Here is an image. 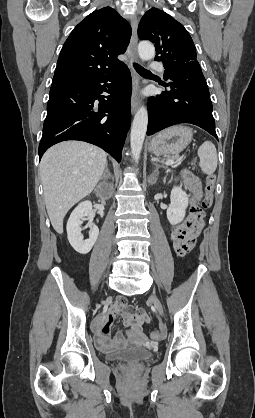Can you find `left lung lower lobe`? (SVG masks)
Segmentation results:
<instances>
[{
	"label": "left lung lower lobe",
	"instance_id": "left-lung-lower-lobe-1",
	"mask_svg": "<svg viewBox=\"0 0 255 418\" xmlns=\"http://www.w3.org/2000/svg\"><path fill=\"white\" fill-rule=\"evenodd\" d=\"M171 90L150 97L147 134L179 123H191L218 139L212 115V103L206 80L199 64L166 70Z\"/></svg>",
	"mask_w": 255,
	"mask_h": 418
}]
</instances>
